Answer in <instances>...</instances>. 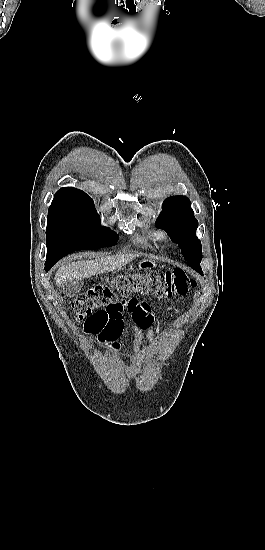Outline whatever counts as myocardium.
<instances>
[{"instance_id": "myocardium-1", "label": "myocardium", "mask_w": 265, "mask_h": 550, "mask_svg": "<svg viewBox=\"0 0 265 550\" xmlns=\"http://www.w3.org/2000/svg\"><path fill=\"white\" fill-rule=\"evenodd\" d=\"M156 237L158 240L160 241H164L167 239V234L165 231H159L157 234H156Z\"/></svg>"}]
</instances>
